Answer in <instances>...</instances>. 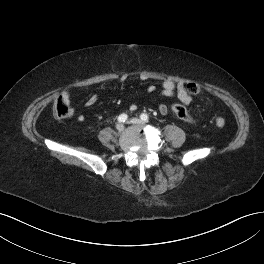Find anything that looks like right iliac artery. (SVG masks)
<instances>
[{"label":"right iliac artery","instance_id":"1","mask_svg":"<svg viewBox=\"0 0 264 264\" xmlns=\"http://www.w3.org/2000/svg\"><path fill=\"white\" fill-rule=\"evenodd\" d=\"M127 118H128V116L123 113V114L119 115L118 121L124 123L127 120Z\"/></svg>","mask_w":264,"mask_h":264}]
</instances>
